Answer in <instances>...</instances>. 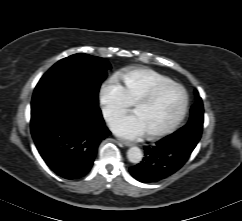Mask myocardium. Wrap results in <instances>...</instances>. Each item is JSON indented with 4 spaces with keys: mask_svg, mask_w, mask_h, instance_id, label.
Instances as JSON below:
<instances>
[{
    "mask_svg": "<svg viewBox=\"0 0 242 221\" xmlns=\"http://www.w3.org/2000/svg\"><path fill=\"white\" fill-rule=\"evenodd\" d=\"M168 87H176L181 90L183 94V105H182L181 111L177 116V118L165 129L158 132L147 133L148 139L156 140L171 134L173 131L177 129V127L181 124V122L183 121V119L187 114L188 107H189L188 92L183 85L175 81L163 82L151 88L146 94H144L134 103L133 110H135L138 106L147 105L151 103L161 91H163Z\"/></svg>",
    "mask_w": 242,
    "mask_h": 221,
    "instance_id": "myocardium-1",
    "label": "myocardium"
}]
</instances>
